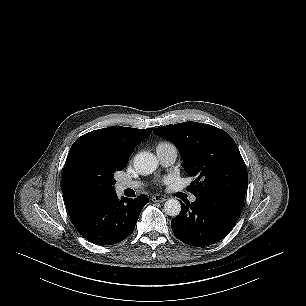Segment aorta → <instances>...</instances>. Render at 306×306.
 I'll return each instance as SVG.
<instances>
[{"label":"aorta","mask_w":306,"mask_h":306,"mask_svg":"<svg viewBox=\"0 0 306 306\" xmlns=\"http://www.w3.org/2000/svg\"><path fill=\"white\" fill-rule=\"evenodd\" d=\"M157 166V158L149 152H142L134 157V168L140 175L152 174ZM164 211L169 216H178L181 212V203L177 199H169L164 204Z\"/></svg>","instance_id":"obj_1"}]
</instances>
